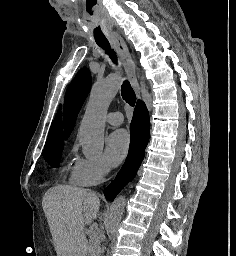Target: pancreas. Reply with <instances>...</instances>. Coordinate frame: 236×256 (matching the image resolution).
<instances>
[{
  "mask_svg": "<svg viewBox=\"0 0 236 256\" xmlns=\"http://www.w3.org/2000/svg\"><path fill=\"white\" fill-rule=\"evenodd\" d=\"M89 236V248H91L90 253L91 254H98L100 252V238L98 236L99 233V227L93 226V228L90 230Z\"/></svg>",
  "mask_w": 236,
  "mask_h": 256,
  "instance_id": "cf45deb5",
  "label": "pancreas"
}]
</instances>
